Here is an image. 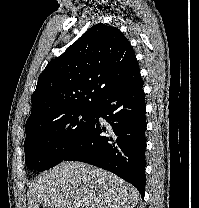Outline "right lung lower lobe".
<instances>
[{"mask_svg":"<svg viewBox=\"0 0 199 208\" xmlns=\"http://www.w3.org/2000/svg\"><path fill=\"white\" fill-rule=\"evenodd\" d=\"M141 75L94 105V120L63 161H81L111 171L134 185L144 197L146 119ZM99 117L107 121L99 123ZM105 132L106 135H101Z\"/></svg>","mask_w":199,"mask_h":208,"instance_id":"obj_1","label":"right lung lower lobe"}]
</instances>
